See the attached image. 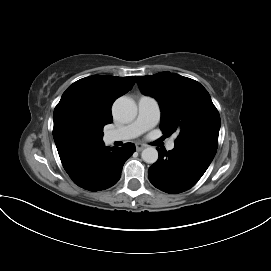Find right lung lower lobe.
<instances>
[{"label": "right lung lower lobe", "instance_id": "1", "mask_svg": "<svg viewBox=\"0 0 271 271\" xmlns=\"http://www.w3.org/2000/svg\"><path fill=\"white\" fill-rule=\"evenodd\" d=\"M134 152L133 143H126L121 148L104 147L97 155L68 172V175L83 189L93 192L107 189L120 179L125 161Z\"/></svg>", "mask_w": 271, "mask_h": 271}]
</instances>
